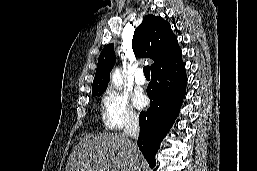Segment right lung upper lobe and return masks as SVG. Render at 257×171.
Segmentation results:
<instances>
[{
  "instance_id": "right-lung-upper-lobe-1",
  "label": "right lung upper lobe",
  "mask_w": 257,
  "mask_h": 171,
  "mask_svg": "<svg viewBox=\"0 0 257 171\" xmlns=\"http://www.w3.org/2000/svg\"><path fill=\"white\" fill-rule=\"evenodd\" d=\"M132 49L138 57L151 58V72L170 66L181 59V49L170 24L163 18L148 14L134 32ZM113 44L106 45L100 53L92 94L104 91L110 79V72L115 65Z\"/></svg>"
}]
</instances>
